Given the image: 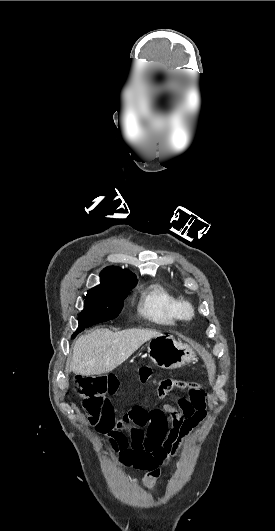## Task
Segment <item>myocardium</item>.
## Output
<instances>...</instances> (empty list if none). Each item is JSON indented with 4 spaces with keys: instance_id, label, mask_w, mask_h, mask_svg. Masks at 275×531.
Instances as JSON below:
<instances>
[{
    "instance_id": "myocardium-1",
    "label": "myocardium",
    "mask_w": 275,
    "mask_h": 531,
    "mask_svg": "<svg viewBox=\"0 0 275 531\" xmlns=\"http://www.w3.org/2000/svg\"><path fill=\"white\" fill-rule=\"evenodd\" d=\"M175 313L180 320H191L195 316L194 304L189 299H179L175 305Z\"/></svg>"
}]
</instances>
